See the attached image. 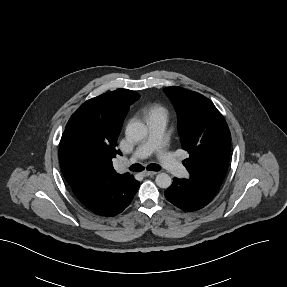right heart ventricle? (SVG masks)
I'll list each match as a JSON object with an SVG mask.
<instances>
[{
	"mask_svg": "<svg viewBox=\"0 0 287 287\" xmlns=\"http://www.w3.org/2000/svg\"><path fill=\"white\" fill-rule=\"evenodd\" d=\"M143 113L147 120L160 119L167 121L169 116L167 108L160 104L145 107Z\"/></svg>",
	"mask_w": 287,
	"mask_h": 287,
	"instance_id": "1",
	"label": "right heart ventricle"
}]
</instances>
